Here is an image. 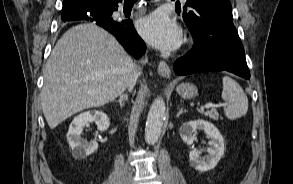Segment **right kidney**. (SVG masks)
Returning a JSON list of instances; mask_svg holds the SVG:
<instances>
[{
  "label": "right kidney",
  "mask_w": 293,
  "mask_h": 184,
  "mask_svg": "<svg viewBox=\"0 0 293 184\" xmlns=\"http://www.w3.org/2000/svg\"><path fill=\"white\" fill-rule=\"evenodd\" d=\"M95 122L99 131L104 132L110 125L108 116L98 110L86 111L76 116L69 126L67 140L72 149V154L77 159H83L94 153L98 148L96 141H81L83 127L89 123Z\"/></svg>",
  "instance_id": "1"
}]
</instances>
